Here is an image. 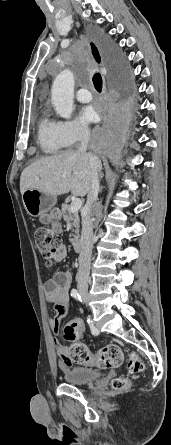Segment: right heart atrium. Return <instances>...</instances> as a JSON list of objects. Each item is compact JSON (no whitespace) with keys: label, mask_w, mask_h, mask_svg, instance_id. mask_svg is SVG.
I'll use <instances>...</instances> for the list:
<instances>
[{"label":"right heart atrium","mask_w":171,"mask_h":445,"mask_svg":"<svg viewBox=\"0 0 171 445\" xmlns=\"http://www.w3.org/2000/svg\"><path fill=\"white\" fill-rule=\"evenodd\" d=\"M60 135L66 145L76 144L89 136V128L79 120H62L57 122Z\"/></svg>","instance_id":"right-heart-atrium-1"}]
</instances>
